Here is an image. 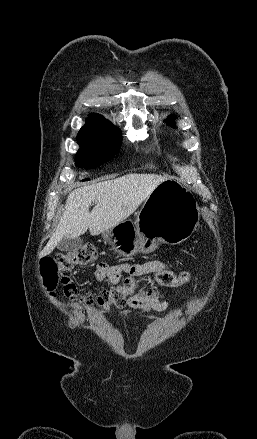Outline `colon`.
Wrapping results in <instances>:
<instances>
[{"mask_svg": "<svg viewBox=\"0 0 257 439\" xmlns=\"http://www.w3.org/2000/svg\"><path fill=\"white\" fill-rule=\"evenodd\" d=\"M97 250L92 245H85L77 250L57 254L53 258L44 259L40 263V271L46 288L51 291L60 285L62 295L71 301H80L90 306L108 308L110 306L122 307L127 299L137 291V283L131 278H125L121 283L103 290L94 295L91 293L80 295L72 280V271L77 266H84L94 262ZM191 278L189 272L176 273L163 270L154 273V280L161 286L179 287Z\"/></svg>", "mask_w": 257, "mask_h": 439, "instance_id": "colon-1", "label": "colon"}]
</instances>
